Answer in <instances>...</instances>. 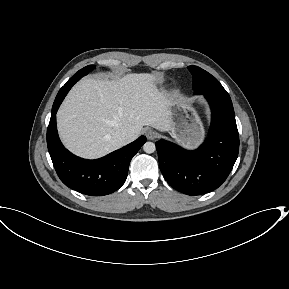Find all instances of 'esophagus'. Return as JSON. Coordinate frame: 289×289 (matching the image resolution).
I'll return each instance as SVG.
<instances>
[{"instance_id": "obj_1", "label": "esophagus", "mask_w": 289, "mask_h": 289, "mask_svg": "<svg viewBox=\"0 0 289 289\" xmlns=\"http://www.w3.org/2000/svg\"><path fill=\"white\" fill-rule=\"evenodd\" d=\"M145 135L149 140H154L155 138H157V132L154 131L153 129L146 130Z\"/></svg>"}]
</instances>
